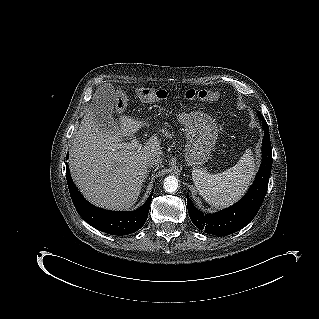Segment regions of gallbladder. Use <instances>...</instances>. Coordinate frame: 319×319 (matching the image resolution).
I'll return each instance as SVG.
<instances>
[{
  "label": "gallbladder",
  "mask_w": 319,
  "mask_h": 319,
  "mask_svg": "<svg viewBox=\"0 0 319 319\" xmlns=\"http://www.w3.org/2000/svg\"><path fill=\"white\" fill-rule=\"evenodd\" d=\"M113 92V87L110 85L101 87L97 90L91 102V108L97 123L106 130H113L118 126V123L112 117L114 108Z\"/></svg>",
  "instance_id": "obj_1"
}]
</instances>
